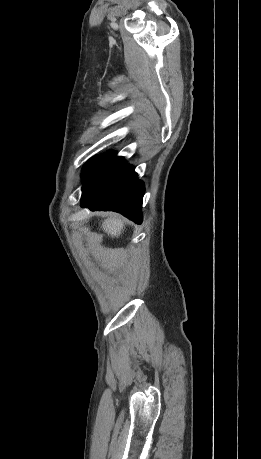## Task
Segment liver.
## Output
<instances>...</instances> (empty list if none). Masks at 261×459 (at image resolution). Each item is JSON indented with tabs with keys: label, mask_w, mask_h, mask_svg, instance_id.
Wrapping results in <instances>:
<instances>
[{
	"label": "liver",
	"mask_w": 261,
	"mask_h": 459,
	"mask_svg": "<svg viewBox=\"0 0 261 459\" xmlns=\"http://www.w3.org/2000/svg\"><path fill=\"white\" fill-rule=\"evenodd\" d=\"M124 224L123 219L112 214L103 221L102 228L111 237H118L123 231Z\"/></svg>",
	"instance_id": "1"
}]
</instances>
